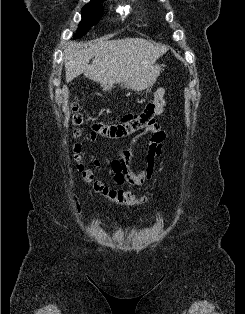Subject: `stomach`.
I'll return each mask as SVG.
<instances>
[{
	"label": "stomach",
	"instance_id": "obj_1",
	"mask_svg": "<svg viewBox=\"0 0 245 314\" xmlns=\"http://www.w3.org/2000/svg\"><path fill=\"white\" fill-rule=\"evenodd\" d=\"M161 68L159 65L153 66L148 72L129 80L128 82L121 83V88L131 89L136 92H140L150 88L157 80L160 74ZM104 91H111L113 85H103Z\"/></svg>",
	"mask_w": 245,
	"mask_h": 314
}]
</instances>
